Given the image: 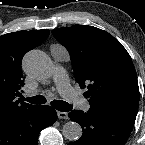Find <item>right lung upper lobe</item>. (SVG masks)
<instances>
[{"instance_id":"right-lung-upper-lobe-1","label":"right lung upper lobe","mask_w":145,"mask_h":145,"mask_svg":"<svg viewBox=\"0 0 145 145\" xmlns=\"http://www.w3.org/2000/svg\"><path fill=\"white\" fill-rule=\"evenodd\" d=\"M48 35V30H36L0 36V121L33 106L16 99L24 86L21 61L28 51L39 46Z\"/></svg>"}]
</instances>
